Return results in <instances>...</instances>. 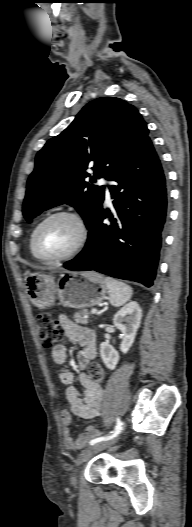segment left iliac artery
I'll return each mask as SVG.
<instances>
[{"label":"left iliac artery","instance_id":"1","mask_svg":"<svg viewBox=\"0 0 192 527\" xmlns=\"http://www.w3.org/2000/svg\"><path fill=\"white\" fill-rule=\"evenodd\" d=\"M116 422L117 423L113 431H111L108 435L98 437V438L91 440L90 445H94L96 443L103 442V441H108L116 437L121 432L122 426H123V423L120 418H117Z\"/></svg>","mask_w":192,"mask_h":527}]
</instances>
